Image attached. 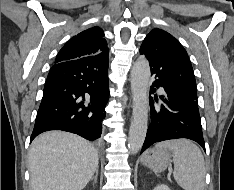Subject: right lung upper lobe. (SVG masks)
Wrapping results in <instances>:
<instances>
[{
	"label": "right lung upper lobe",
	"instance_id": "cb5924a9",
	"mask_svg": "<svg viewBox=\"0 0 234 190\" xmlns=\"http://www.w3.org/2000/svg\"><path fill=\"white\" fill-rule=\"evenodd\" d=\"M104 32L92 27L72 37L59 51L55 64L97 54L108 55Z\"/></svg>",
	"mask_w": 234,
	"mask_h": 190
}]
</instances>
